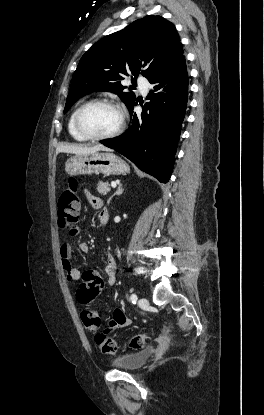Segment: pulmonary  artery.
<instances>
[{
	"label": "pulmonary artery",
	"instance_id": "obj_1",
	"mask_svg": "<svg viewBox=\"0 0 264 415\" xmlns=\"http://www.w3.org/2000/svg\"><path fill=\"white\" fill-rule=\"evenodd\" d=\"M138 85L140 88V91L142 94H146L147 90H148V82L146 79L144 78H139L138 80Z\"/></svg>",
	"mask_w": 264,
	"mask_h": 415
}]
</instances>
